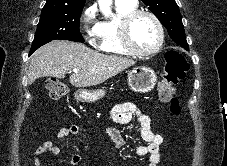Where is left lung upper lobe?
I'll list each match as a JSON object with an SVG mask.
<instances>
[{
	"label": "left lung upper lobe",
	"instance_id": "left-lung-upper-lobe-1",
	"mask_svg": "<svg viewBox=\"0 0 227 166\" xmlns=\"http://www.w3.org/2000/svg\"><path fill=\"white\" fill-rule=\"evenodd\" d=\"M167 29L171 39L186 50V41L182 18L175 0H142Z\"/></svg>",
	"mask_w": 227,
	"mask_h": 166
}]
</instances>
